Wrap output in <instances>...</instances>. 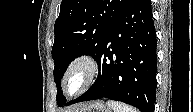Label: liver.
<instances>
[{"label":"liver","mask_w":193,"mask_h":112,"mask_svg":"<svg viewBox=\"0 0 193 112\" xmlns=\"http://www.w3.org/2000/svg\"><path fill=\"white\" fill-rule=\"evenodd\" d=\"M84 104H86V103H80V104L74 106L73 108H71L70 111H71V112H75V111H77L80 107H82Z\"/></svg>","instance_id":"1"}]
</instances>
